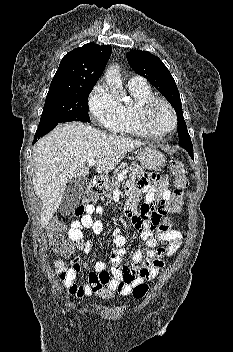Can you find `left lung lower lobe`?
Masks as SVG:
<instances>
[{
  "label": "left lung lower lobe",
  "mask_w": 233,
  "mask_h": 352,
  "mask_svg": "<svg viewBox=\"0 0 233 352\" xmlns=\"http://www.w3.org/2000/svg\"><path fill=\"white\" fill-rule=\"evenodd\" d=\"M188 153L191 156V158L193 159V151H188Z\"/></svg>",
  "instance_id": "1"
}]
</instances>
